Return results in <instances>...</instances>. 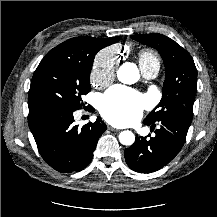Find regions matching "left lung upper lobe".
Listing matches in <instances>:
<instances>
[{
  "mask_svg": "<svg viewBox=\"0 0 217 217\" xmlns=\"http://www.w3.org/2000/svg\"><path fill=\"white\" fill-rule=\"evenodd\" d=\"M131 38L155 48L165 65L162 99L145 119L157 122L163 118L176 117L191 123L197 91V70L190 54L162 34L132 35Z\"/></svg>",
  "mask_w": 217,
  "mask_h": 217,
  "instance_id": "obj_1",
  "label": "left lung upper lobe"
}]
</instances>
